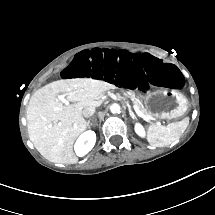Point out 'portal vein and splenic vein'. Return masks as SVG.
<instances>
[{"label":"portal vein and splenic vein","mask_w":215,"mask_h":215,"mask_svg":"<svg viewBox=\"0 0 215 215\" xmlns=\"http://www.w3.org/2000/svg\"><path fill=\"white\" fill-rule=\"evenodd\" d=\"M58 99L66 105L69 104V102L65 99V94L58 96ZM134 110L139 117L143 118L145 121L149 120L148 116L141 112L137 106H134Z\"/></svg>","instance_id":"18ae733b"}]
</instances>
